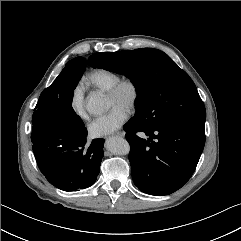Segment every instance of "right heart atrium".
<instances>
[{
	"label": "right heart atrium",
	"instance_id": "1",
	"mask_svg": "<svg viewBox=\"0 0 241 241\" xmlns=\"http://www.w3.org/2000/svg\"><path fill=\"white\" fill-rule=\"evenodd\" d=\"M71 108L80 118H86L84 89L81 85L75 87L71 96Z\"/></svg>",
	"mask_w": 241,
	"mask_h": 241
}]
</instances>
